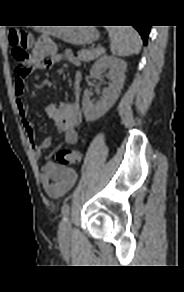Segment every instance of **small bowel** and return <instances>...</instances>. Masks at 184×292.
I'll return each mask as SVG.
<instances>
[{
  "label": "small bowel",
  "mask_w": 184,
  "mask_h": 292,
  "mask_svg": "<svg viewBox=\"0 0 184 292\" xmlns=\"http://www.w3.org/2000/svg\"><path fill=\"white\" fill-rule=\"evenodd\" d=\"M62 61H66L73 66L79 65V61L73 52L71 50H65L62 53L53 55L51 58L43 62L36 61L30 70L51 69ZM28 73H16L14 81L16 105L22 125L32 145L33 153L36 157H40L42 151L52 145V140L50 138H45L39 143H36L35 141V127L29 120L26 103L23 99L25 90V76ZM81 79V73L77 72L72 84L73 99L71 102L49 104L45 108L47 116L54 121L58 131L63 134V143L68 145L77 143V127L82 121V113L80 109ZM77 176V170L74 167H68L52 161H46L43 166L41 182L45 192L49 196L53 198H60L73 187L77 180Z\"/></svg>",
  "instance_id": "obj_1"
}]
</instances>
